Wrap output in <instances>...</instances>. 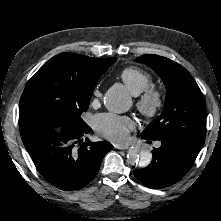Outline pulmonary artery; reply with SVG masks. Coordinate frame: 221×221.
Returning <instances> with one entry per match:
<instances>
[{
    "label": "pulmonary artery",
    "instance_id": "obj_1",
    "mask_svg": "<svg viewBox=\"0 0 221 221\" xmlns=\"http://www.w3.org/2000/svg\"><path fill=\"white\" fill-rule=\"evenodd\" d=\"M156 147H160V143L158 142V143H156Z\"/></svg>",
    "mask_w": 221,
    "mask_h": 221
}]
</instances>
